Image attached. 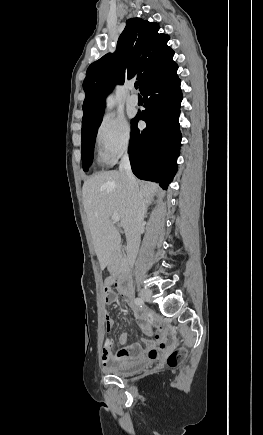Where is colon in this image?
<instances>
[{
    "instance_id": "obj_1",
    "label": "colon",
    "mask_w": 263,
    "mask_h": 435,
    "mask_svg": "<svg viewBox=\"0 0 263 435\" xmlns=\"http://www.w3.org/2000/svg\"><path fill=\"white\" fill-rule=\"evenodd\" d=\"M112 298H113V295L109 291L105 290L104 299L110 300ZM103 348L105 350H112L114 348L113 339L107 338L106 341L103 343ZM184 357H185V350H183V349L177 350V351H174L168 355V357L166 359V363L170 367H175L182 362Z\"/></svg>"
}]
</instances>
